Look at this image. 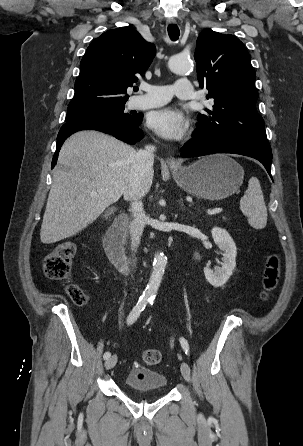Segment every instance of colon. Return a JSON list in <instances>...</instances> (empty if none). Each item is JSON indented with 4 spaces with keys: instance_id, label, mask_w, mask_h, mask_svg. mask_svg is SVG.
I'll return each mask as SVG.
<instances>
[{
    "instance_id": "obj_1",
    "label": "colon",
    "mask_w": 303,
    "mask_h": 446,
    "mask_svg": "<svg viewBox=\"0 0 303 446\" xmlns=\"http://www.w3.org/2000/svg\"><path fill=\"white\" fill-rule=\"evenodd\" d=\"M77 246L73 241H65L58 244L43 260L44 275L54 281H62L69 277L72 267V260L76 254ZM280 278V259L277 254H270L267 257L263 278L262 290L259 295L261 301L268 299L270 293L277 287ZM66 293L71 301L76 305H83L86 302V295L83 289L77 284H68ZM161 353L157 349H147L142 353V360L147 365H157L161 361Z\"/></svg>"
}]
</instances>
